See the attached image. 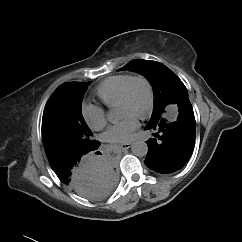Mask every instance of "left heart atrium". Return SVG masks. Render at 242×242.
I'll return each instance as SVG.
<instances>
[{
	"label": "left heart atrium",
	"mask_w": 242,
	"mask_h": 242,
	"mask_svg": "<svg viewBox=\"0 0 242 242\" xmlns=\"http://www.w3.org/2000/svg\"><path fill=\"white\" fill-rule=\"evenodd\" d=\"M138 126L136 116L125 114L121 120L108 128L105 133V138L110 143H126L131 140Z\"/></svg>",
	"instance_id": "obj_1"
}]
</instances>
